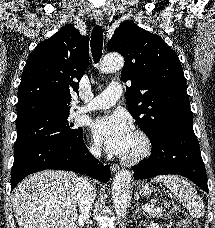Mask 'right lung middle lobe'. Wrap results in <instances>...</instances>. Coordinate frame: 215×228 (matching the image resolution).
I'll use <instances>...</instances> for the list:
<instances>
[{
  "label": "right lung middle lobe",
  "mask_w": 215,
  "mask_h": 228,
  "mask_svg": "<svg viewBox=\"0 0 215 228\" xmlns=\"http://www.w3.org/2000/svg\"><path fill=\"white\" fill-rule=\"evenodd\" d=\"M68 116L69 113L50 114L16 122L15 150L34 142L50 139L82 141V128H73V124L68 123Z\"/></svg>",
  "instance_id": "right-lung-middle-lobe-1"
}]
</instances>
